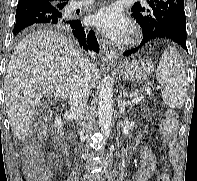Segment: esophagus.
Wrapping results in <instances>:
<instances>
[{
  "label": "esophagus",
  "instance_id": "esophagus-1",
  "mask_svg": "<svg viewBox=\"0 0 197 181\" xmlns=\"http://www.w3.org/2000/svg\"><path fill=\"white\" fill-rule=\"evenodd\" d=\"M101 52L104 55L105 61L113 62L117 58L116 51L111 47L108 41H103L101 45Z\"/></svg>",
  "mask_w": 197,
  "mask_h": 181
}]
</instances>
